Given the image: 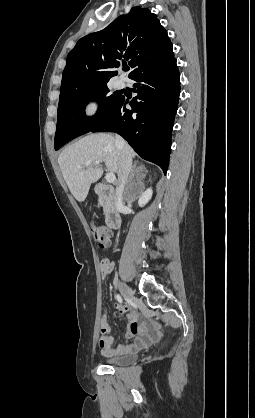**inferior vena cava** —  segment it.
<instances>
[{"label":"inferior vena cava","mask_w":255,"mask_h":418,"mask_svg":"<svg viewBox=\"0 0 255 418\" xmlns=\"http://www.w3.org/2000/svg\"><path fill=\"white\" fill-rule=\"evenodd\" d=\"M115 143H116V147L119 151V156H120V160H119V168H120V173H119V178H118V184L116 187V207L117 209H120L123 206V191H124V187L127 181V178L129 176V173L132 169V157L130 154V150H129V146L128 144L125 142V140L119 136V135H115Z\"/></svg>","instance_id":"1"}]
</instances>
